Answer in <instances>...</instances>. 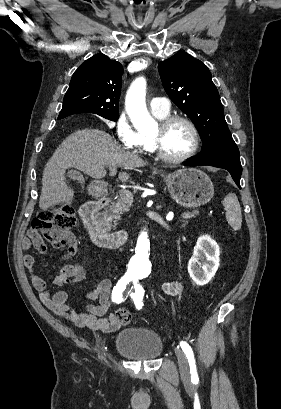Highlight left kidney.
Returning <instances> with one entry per match:
<instances>
[{
  "label": "left kidney",
  "instance_id": "left-kidney-1",
  "mask_svg": "<svg viewBox=\"0 0 281 409\" xmlns=\"http://www.w3.org/2000/svg\"><path fill=\"white\" fill-rule=\"evenodd\" d=\"M219 257L220 251L216 241L211 239L210 235L199 237L187 267L196 285L203 287L211 281L219 267Z\"/></svg>",
  "mask_w": 281,
  "mask_h": 409
}]
</instances>
